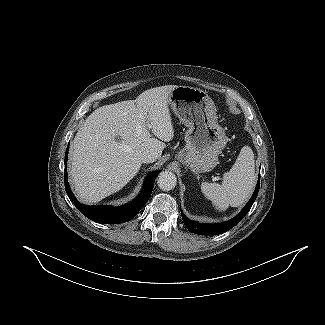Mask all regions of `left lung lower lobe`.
<instances>
[{"label": "left lung lower lobe", "instance_id": "0a47b994", "mask_svg": "<svg viewBox=\"0 0 325 325\" xmlns=\"http://www.w3.org/2000/svg\"><path fill=\"white\" fill-rule=\"evenodd\" d=\"M259 187H260V173H259V180L257 182L256 188H255V191H254L252 197L250 198L248 203L245 205V207L241 210V212L229 221H226L223 223H217V224H203V223L191 221V220L187 219L183 213H181L183 222H184L185 226L187 227V229L190 232L195 233V234L217 235V234L224 233V232L230 230L231 228H233L236 224H238L244 218V216L248 213V211L251 209V207L258 195Z\"/></svg>", "mask_w": 325, "mask_h": 325}]
</instances>
